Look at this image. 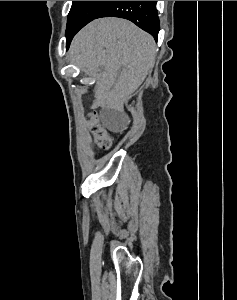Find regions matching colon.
Masks as SVG:
<instances>
[{"label":"colon","instance_id":"5ec220e1","mask_svg":"<svg viewBox=\"0 0 237 300\" xmlns=\"http://www.w3.org/2000/svg\"><path fill=\"white\" fill-rule=\"evenodd\" d=\"M89 129L93 133L99 148L108 149L110 147L111 140L106 132L98 124L96 116L94 114L91 115Z\"/></svg>","mask_w":237,"mask_h":300}]
</instances>
